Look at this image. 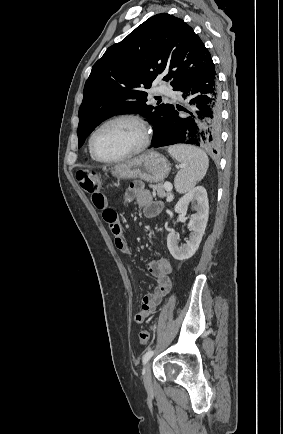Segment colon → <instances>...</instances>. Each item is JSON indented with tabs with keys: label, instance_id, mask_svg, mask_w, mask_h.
<instances>
[{
	"label": "colon",
	"instance_id": "colon-1",
	"mask_svg": "<svg viewBox=\"0 0 283 434\" xmlns=\"http://www.w3.org/2000/svg\"><path fill=\"white\" fill-rule=\"evenodd\" d=\"M77 180L80 186L90 194H94L98 191L99 188V176L94 171L89 170H80L77 173ZM150 338V333L147 330H143L139 334V342L141 345H145L148 343Z\"/></svg>",
	"mask_w": 283,
	"mask_h": 434
}]
</instances>
